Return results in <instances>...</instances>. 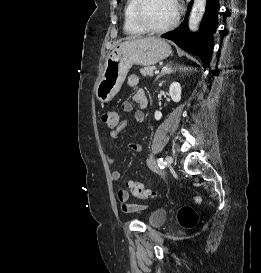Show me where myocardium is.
Masks as SVG:
<instances>
[{
	"mask_svg": "<svg viewBox=\"0 0 261 273\" xmlns=\"http://www.w3.org/2000/svg\"><path fill=\"white\" fill-rule=\"evenodd\" d=\"M146 0H135V4L133 6L132 10V19L135 23V25L140 28L143 32H148V33H165L173 29L179 22L180 19V7L177 2V0H173L175 7H176V14L174 19L167 25L163 27H151L146 25L141 17H140V11L145 4Z\"/></svg>",
	"mask_w": 261,
	"mask_h": 273,
	"instance_id": "obj_1",
	"label": "myocardium"
}]
</instances>
